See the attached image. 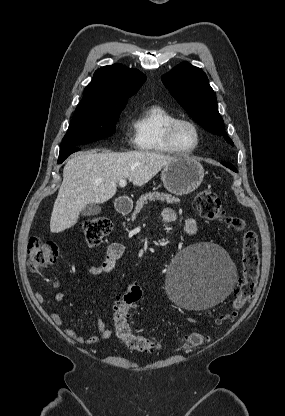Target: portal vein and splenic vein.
<instances>
[{
  "label": "portal vein and splenic vein",
  "instance_id": "1",
  "mask_svg": "<svg viewBox=\"0 0 285 416\" xmlns=\"http://www.w3.org/2000/svg\"><path fill=\"white\" fill-rule=\"evenodd\" d=\"M119 186H120V188H125L126 180H119Z\"/></svg>",
  "mask_w": 285,
  "mask_h": 416
}]
</instances>
